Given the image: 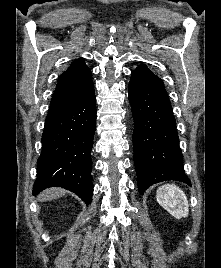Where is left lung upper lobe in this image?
Masks as SVG:
<instances>
[{
  "mask_svg": "<svg viewBox=\"0 0 221 268\" xmlns=\"http://www.w3.org/2000/svg\"><path fill=\"white\" fill-rule=\"evenodd\" d=\"M132 77L140 79L150 84H155L159 86H164L163 81L153 74L146 65L138 66L133 72Z\"/></svg>",
  "mask_w": 221,
  "mask_h": 268,
  "instance_id": "left-lung-upper-lobe-1",
  "label": "left lung upper lobe"
}]
</instances>
